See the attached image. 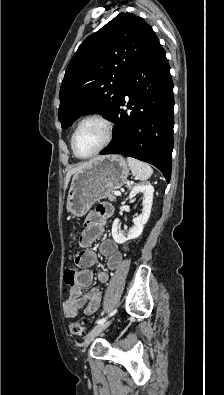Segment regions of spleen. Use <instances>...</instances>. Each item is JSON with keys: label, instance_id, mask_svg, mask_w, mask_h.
<instances>
[{"label": "spleen", "instance_id": "1", "mask_svg": "<svg viewBox=\"0 0 224 395\" xmlns=\"http://www.w3.org/2000/svg\"><path fill=\"white\" fill-rule=\"evenodd\" d=\"M132 174L139 180L145 181L153 174V169L146 163L134 159L132 157L127 158Z\"/></svg>", "mask_w": 224, "mask_h": 395}]
</instances>
